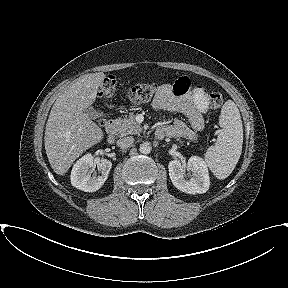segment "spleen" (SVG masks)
Instances as JSON below:
<instances>
[{"mask_svg": "<svg viewBox=\"0 0 288 288\" xmlns=\"http://www.w3.org/2000/svg\"><path fill=\"white\" fill-rule=\"evenodd\" d=\"M219 118L221 130L216 143L207 149L205 162L218 179H225L241 156L243 126L239 109L231 100L224 103Z\"/></svg>", "mask_w": 288, "mask_h": 288, "instance_id": "spleen-1", "label": "spleen"}]
</instances>
